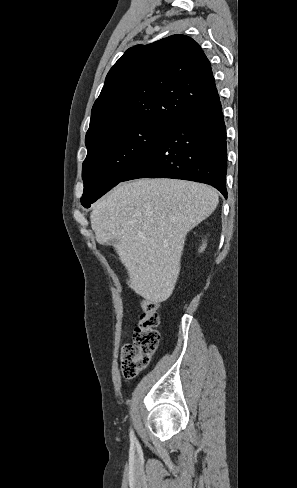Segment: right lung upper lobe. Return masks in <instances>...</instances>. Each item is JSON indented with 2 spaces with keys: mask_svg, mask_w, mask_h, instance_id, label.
Listing matches in <instances>:
<instances>
[{
  "mask_svg": "<svg viewBox=\"0 0 297 488\" xmlns=\"http://www.w3.org/2000/svg\"><path fill=\"white\" fill-rule=\"evenodd\" d=\"M218 97L211 65L192 38L172 35L129 48L108 72L85 144L124 127L171 124Z\"/></svg>",
  "mask_w": 297,
  "mask_h": 488,
  "instance_id": "cb5924a9",
  "label": "right lung upper lobe"
}]
</instances>
